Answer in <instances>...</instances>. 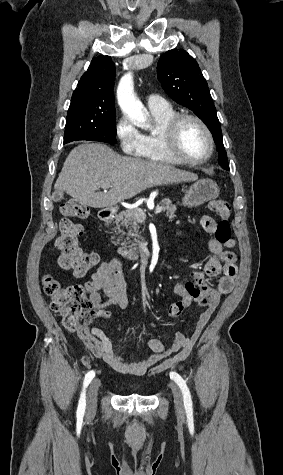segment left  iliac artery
<instances>
[{
	"instance_id": "obj_1",
	"label": "left iliac artery",
	"mask_w": 283,
	"mask_h": 475,
	"mask_svg": "<svg viewBox=\"0 0 283 475\" xmlns=\"http://www.w3.org/2000/svg\"><path fill=\"white\" fill-rule=\"evenodd\" d=\"M170 378L174 380L179 385L180 389L182 390L186 413L187 415L191 416L193 414L192 399H191L190 391L186 385V382L176 372H170Z\"/></svg>"
}]
</instances>
